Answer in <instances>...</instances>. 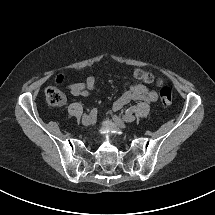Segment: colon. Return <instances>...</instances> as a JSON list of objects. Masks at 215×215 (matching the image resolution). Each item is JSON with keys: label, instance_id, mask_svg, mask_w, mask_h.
I'll use <instances>...</instances> for the list:
<instances>
[{"label": "colon", "instance_id": "colon-1", "mask_svg": "<svg viewBox=\"0 0 215 215\" xmlns=\"http://www.w3.org/2000/svg\"><path fill=\"white\" fill-rule=\"evenodd\" d=\"M136 79L141 80L145 83L151 84L155 81L154 76L144 70L137 69L133 72ZM62 77H58V81H61ZM160 100L165 106H169L172 103V91L169 87H162L160 89ZM46 102L51 106H60L65 102L64 93L57 87H49L45 91Z\"/></svg>", "mask_w": 215, "mask_h": 215}]
</instances>
